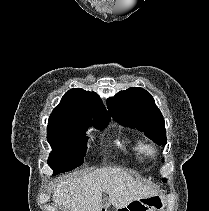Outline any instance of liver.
Instances as JSON below:
<instances>
[{
	"label": "liver",
	"mask_w": 209,
	"mask_h": 211,
	"mask_svg": "<svg viewBox=\"0 0 209 211\" xmlns=\"http://www.w3.org/2000/svg\"><path fill=\"white\" fill-rule=\"evenodd\" d=\"M116 209L149 198L155 190L120 168L105 167L83 176H66L55 186L53 200L64 211H102V194Z\"/></svg>",
	"instance_id": "obj_1"
}]
</instances>
